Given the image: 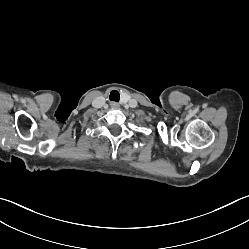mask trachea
Segmentation results:
<instances>
[{
    "label": "trachea",
    "mask_w": 249,
    "mask_h": 249,
    "mask_svg": "<svg viewBox=\"0 0 249 249\" xmlns=\"http://www.w3.org/2000/svg\"><path fill=\"white\" fill-rule=\"evenodd\" d=\"M113 92H115V94H117V96L119 98V93L117 91H113ZM110 96H111V94H110Z\"/></svg>",
    "instance_id": "trachea-1"
}]
</instances>
